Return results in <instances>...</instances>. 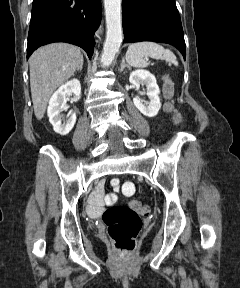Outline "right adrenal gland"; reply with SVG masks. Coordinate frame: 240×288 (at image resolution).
Returning a JSON list of instances; mask_svg holds the SVG:
<instances>
[{
  "instance_id": "obj_1",
  "label": "right adrenal gland",
  "mask_w": 240,
  "mask_h": 288,
  "mask_svg": "<svg viewBox=\"0 0 240 288\" xmlns=\"http://www.w3.org/2000/svg\"><path fill=\"white\" fill-rule=\"evenodd\" d=\"M83 68V62L81 63L80 67L76 71H82Z\"/></svg>"
}]
</instances>
